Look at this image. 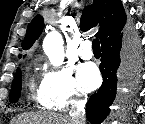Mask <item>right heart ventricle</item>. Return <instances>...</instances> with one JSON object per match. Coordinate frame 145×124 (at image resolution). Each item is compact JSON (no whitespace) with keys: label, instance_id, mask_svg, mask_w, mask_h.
Segmentation results:
<instances>
[{"label":"right heart ventricle","instance_id":"right-heart-ventricle-1","mask_svg":"<svg viewBox=\"0 0 145 124\" xmlns=\"http://www.w3.org/2000/svg\"><path fill=\"white\" fill-rule=\"evenodd\" d=\"M30 91H31L32 99L36 101L41 107L46 109H54V107L48 101L45 100L41 88L35 90L33 85L31 84Z\"/></svg>","mask_w":145,"mask_h":124}]
</instances>
